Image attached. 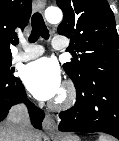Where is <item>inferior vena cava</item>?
<instances>
[{"label": "inferior vena cava", "instance_id": "602c4592", "mask_svg": "<svg viewBox=\"0 0 119 141\" xmlns=\"http://www.w3.org/2000/svg\"><path fill=\"white\" fill-rule=\"evenodd\" d=\"M7 120L13 125L18 141H28L31 123L27 107L24 104H17L11 107Z\"/></svg>", "mask_w": 119, "mask_h": 141}]
</instances>
